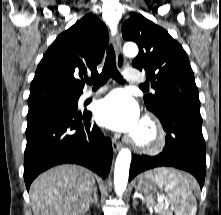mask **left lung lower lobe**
<instances>
[{
  "instance_id": "0a47b994",
  "label": "left lung lower lobe",
  "mask_w": 221,
  "mask_h": 215,
  "mask_svg": "<svg viewBox=\"0 0 221 215\" xmlns=\"http://www.w3.org/2000/svg\"><path fill=\"white\" fill-rule=\"evenodd\" d=\"M166 132V145L156 156L134 155L129 181L138 173L155 167H175L195 176L202 189L206 174V149L200 107L179 101H166L154 113Z\"/></svg>"
}]
</instances>
